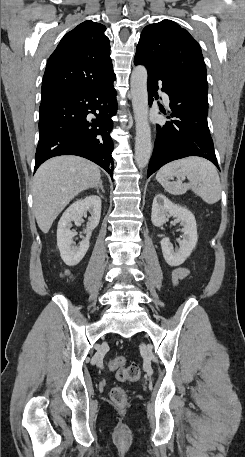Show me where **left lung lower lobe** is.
<instances>
[{
  "label": "left lung lower lobe",
  "mask_w": 245,
  "mask_h": 457,
  "mask_svg": "<svg viewBox=\"0 0 245 457\" xmlns=\"http://www.w3.org/2000/svg\"><path fill=\"white\" fill-rule=\"evenodd\" d=\"M134 63L142 64L148 70L149 104L152 105L153 96L158 99V84H161L162 91L170 99L171 112L168 118H174L163 126L157 125V138L147 178L166 163L188 156L204 157L219 169L207 123L208 107L182 98L181 86L163 75L157 66L138 57L134 58ZM160 110L167 115L162 106Z\"/></svg>",
  "instance_id": "1"
}]
</instances>
